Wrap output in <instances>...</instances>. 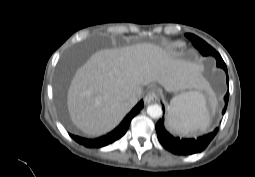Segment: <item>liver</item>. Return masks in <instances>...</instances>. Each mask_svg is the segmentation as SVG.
<instances>
[{"label": "liver", "mask_w": 255, "mask_h": 177, "mask_svg": "<svg viewBox=\"0 0 255 177\" xmlns=\"http://www.w3.org/2000/svg\"><path fill=\"white\" fill-rule=\"evenodd\" d=\"M157 82L168 92L207 87L199 68L150 43L94 53L72 78L67 106L72 122L91 137L114 129L132 109L129 97Z\"/></svg>", "instance_id": "6515ba94"}]
</instances>
